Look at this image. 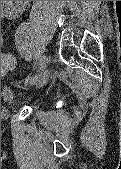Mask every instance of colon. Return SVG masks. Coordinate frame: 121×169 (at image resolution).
Here are the masks:
<instances>
[{
    "label": "colon",
    "mask_w": 121,
    "mask_h": 169,
    "mask_svg": "<svg viewBox=\"0 0 121 169\" xmlns=\"http://www.w3.org/2000/svg\"><path fill=\"white\" fill-rule=\"evenodd\" d=\"M16 65L15 57L11 54H3L1 58V73L13 70Z\"/></svg>",
    "instance_id": "1"
}]
</instances>
